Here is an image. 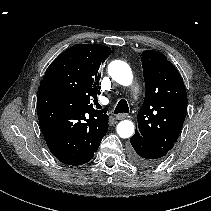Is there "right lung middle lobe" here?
Segmentation results:
<instances>
[{"label": "right lung middle lobe", "instance_id": "1", "mask_svg": "<svg viewBox=\"0 0 211 211\" xmlns=\"http://www.w3.org/2000/svg\"><path fill=\"white\" fill-rule=\"evenodd\" d=\"M54 88H56V85L55 84H53L52 85ZM57 90H59V91H62V92H65L64 90H62V89H58V88H56Z\"/></svg>", "mask_w": 211, "mask_h": 211}]
</instances>
